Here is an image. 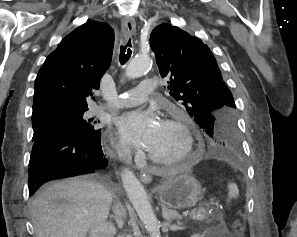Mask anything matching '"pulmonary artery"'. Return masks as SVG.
<instances>
[{
	"label": "pulmonary artery",
	"mask_w": 297,
	"mask_h": 237,
	"mask_svg": "<svg viewBox=\"0 0 297 237\" xmlns=\"http://www.w3.org/2000/svg\"><path fill=\"white\" fill-rule=\"evenodd\" d=\"M157 83L158 81L154 78H145L137 88L119 95L107 108L120 109L139 105L155 92ZM102 108H106V106Z\"/></svg>",
	"instance_id": "e3ab8cb5"
}]
</instances>
